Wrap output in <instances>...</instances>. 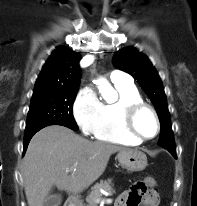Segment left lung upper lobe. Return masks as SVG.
I'll return each mask as SVG.
<instances>
[{
  "mask_svg": "<svg viewBox=\"0 0 197 206\" xmlns=\"http://www.w3.org/2000/svg\"><path fill=\"white\" fill-rule=\"evenodd\" d=\"M116 68L129 73L151 99L161 126L158 145L175 148L174 135L162 81L149 59L136 49L129 47L117 51L113 56Z\"/></svg>",
  "mask_w": 197,
  "mask_h": 206,
  "instance_id": "left-lung-upper-lobe-1",
  "label": "left lung upper lobe"
}]
</instances>
